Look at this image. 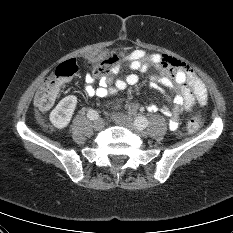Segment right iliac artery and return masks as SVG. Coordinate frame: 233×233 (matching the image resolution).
Returning a JSON list of instances; mask_svg holds the SVG:
<instances>
[{
	"mask_svg": "<svg viewBox=\"0 0 233 233\" xmlns=\"http://www.w3.org/2000/svg\"><path fill=\"white\" fill-rule=\"evenodd\" d=\"M87 117L90 119V120H96L98 119L99 115L98 113L95 111V110H89L88 113H87Z\"/></svg>",
	"mask_w": 233,
	"mask_h": 233,
	"instance_id": "1",
	"label": "right iliac artery"
}]
</instances>
